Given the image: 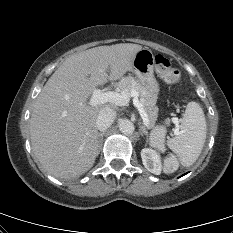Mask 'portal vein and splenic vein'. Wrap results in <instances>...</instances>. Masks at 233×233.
Segmentation results:
<instances>
[{
    "instance_id": "1",
    "label": "portal vein and splenic vein",
    "mask_w": 233,
    "mask_h": 233,
    "mask_svg": "<svg viewBox=\"0 0 233 233\" xmlns=\"http://www.w3.org/2000/svg\"><path fill=\"white\" fill-rule=\"evenodd\" d=\"M138 92L136 90H131L130 93H126V91H123L121 93H116L113 91H105L101 89H95L93 91V94L90 98V105L95 106L98 104H104V103H112L117 106H125L128 104L130 97H134L133 104L138 109L141 118L143 119L144 125L149 128V119L148 116L143 108V105L138 100ZM173 122L175 124H178V119H173Z\"/></svg>"
}]
</instances>
